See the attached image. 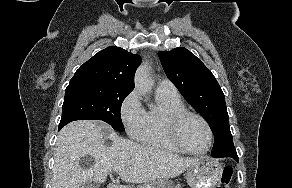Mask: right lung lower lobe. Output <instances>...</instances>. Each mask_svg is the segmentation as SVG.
<instances>
[{
    "mask_svg": "<svg viewBox=\"0 0 292 188\" xmlns=\"http://www.w3.org/2000/svg\"><path fill=\"white\" fill-rule=\"evenodd\" d=\"M66 124H59V130L63 127V126H65Z\"/></svg>",
    "mask_w": 292,
    "mask_h": 188,
    "instance_id": "obj_1",
    "label": "right lung lower lobe"
}]
</instances>
